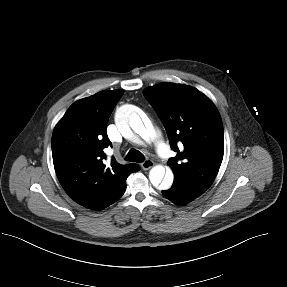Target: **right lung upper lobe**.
<instances>
[{"instance_id":"cb5924a9","label":"right lung upper lobe","mask_w":287,"mask_h":287,"mask_svg":"<svg viewBox=\"0 0 287 287\" xmlns=\"http://www.w3.org/2000/svg\"><path fill=\"white\" fill-rule=\"evenodd\" d=\"M122 90L101 91L73 103L55 126L52 156L57 177L78 204L102 210L125 192L126 179L140 170L114 157L106 165L104 149L111 146L106 125Z\"/></svg>"}]
</instances>
